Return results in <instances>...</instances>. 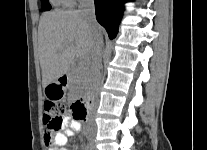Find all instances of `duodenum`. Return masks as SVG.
I'll return each mask as SVG.
<instances>
[{
	"mask_svg": "<svg viewBox=\"0 0 207 150\" xmlns=\"http://www.w3.org/2000/svg\"><path fill=\"white\" fill-rule=\"evenodd\" d=\"M67 80H68L67 76H63L60 79V82H61V84L66 85ZM74 106H75L76 110L80 113L81 117L86 118L88 116V114L90 112V108H91L90 97L85 96L81 100L77 101Z\"/></svg>",
	"mask_w": 207,
	"mask_h": 150,
	"instance_id": "1",
	"label": "duodenum"
}]
</instances>
